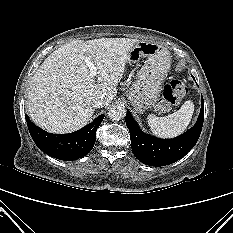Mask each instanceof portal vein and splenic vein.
I'll list each match as a JSON object with an SVG mask.
<instances>
[{"instance_id": "obj_1", "label": "portal vein and splenic vein", "mask_w": 233, "mask_h": 233, "mask_svg": "<svg viewBox=\"0 0 233 233\" xmlns=\"http://www.w3.org/2000/svg\"><path fill=\"white\" fill-rule=\"evenodd\" d=\"M86 65L88 66L89 70H90V76L94 77L97 74V67L93 64V62L91 61L90 57H86L84 59Z\"/></svg>"}]
</instances>
